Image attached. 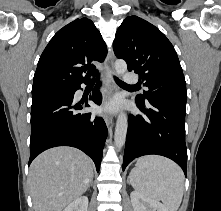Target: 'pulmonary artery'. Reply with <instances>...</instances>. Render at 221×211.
I'll return each instance as SVG.
<instances>
[{"instance_id":"e3ab8cb5","label":"pulmonary artery","mask_w":221,"mask_h":211,"mask_svg":"<svg viewBox=\"0 0 221 211\" xmlns=\"http://www.w3.org/2000/svg\"><path fill=\"white\" fill-rule=\"evenodd\" d=\"M124 80L127 84L134 85L138 83V78L135 74L128 72L124 75Z\"/></svg>"}]
</instances>
